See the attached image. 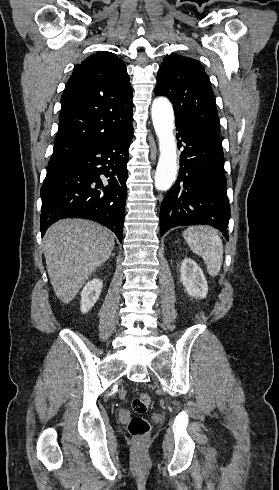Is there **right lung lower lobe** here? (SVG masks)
<instances>
[{
  "mask_svg": "<svg viewBox=\"0 0 279 490\" xmlns=\"http://www.w3.org/2000/svg\"><path fill=\"white\" fill-rule=\"evenodd\" d=\"M133 126L89 150L54 163L41 187V233L59 219L85 218L111 229L122 242L128 148ZM108 179H101L100 175Z\"/></svg>",
  "mask_w": 279,
  "mask_h": 490,
  "instance_id": "right-lung-lower-lobe-1",
  "label": "right lung lower lobe"
}]
</instances>
